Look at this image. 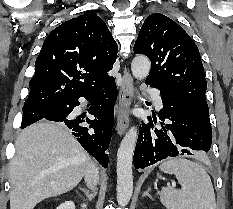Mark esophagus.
<instances>
[{
    "label": "esophagus",
    "mask_w": 233,
    "mask_h": 209,
    "mask_svg": "<svg viewBox=\"0 0 233 209\" xmlns=\"http://www.w3.org/2000/svg\"><path fill=\"white\" fill-rule=\"evenodd\" d=\"M133 97V78L127 68H124L121 89L119 92V106L116 130L118 135H123L130 122L129 111Z\"/></svg>",
    "instance_id": "34e87169"
}]
</instances>
